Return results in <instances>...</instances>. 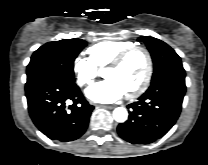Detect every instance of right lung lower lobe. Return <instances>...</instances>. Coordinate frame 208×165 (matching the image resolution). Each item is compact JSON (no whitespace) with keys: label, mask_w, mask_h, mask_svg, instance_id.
<instances>
[{"label":"right lung lower lobe","mask_w":208,"mask_h":165,"mask_svg":"<svg viewBox=\"0 0 208 165\" xmlns=\"http://www.w3.org/2000/svg\"><path fill=\"white\" fill-rule=\"evenodd\" d=\"M25 91L30 117L48 138L67 142L84 134L94 107L75 82L46 76L26 84Z\"/></svg>","instance_id":"98d812e1"}]
</instances>
